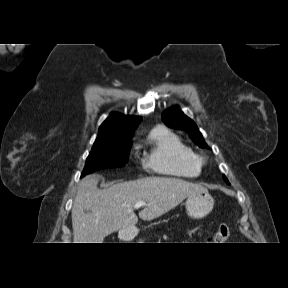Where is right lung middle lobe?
Instances as JSON below:
<instances>
[{"instance_id": "dd1d6c3e", "label": "right lung middle lobe", "mask_w": 288, "mask_h": 288, "mask_svg": "<svg viewBox=\"0 0 288 288\" xmlns=\"http://www.w3.org/2000/svg\"><path fill=\"white\" fill-rule=\"evenodd\" d=\"M130 147L131 138L124 135L95 141L82 176L99 169L124 166L128 161Z\"/></svg>"}]
</instances>
